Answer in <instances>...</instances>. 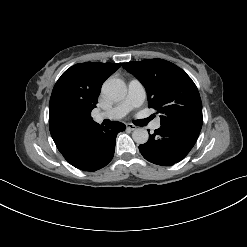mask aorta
Here are the masks:
<instances>
[{
	"mask_svg": "<svg viewBox=\"0 0 247 247\" xmlns=\"http://www.w3.org/2000/svg\"><path fill=\"white\" fill-rule=\"evenodd\" d=\"M102 94L109 101H121L127 94L126 84L121 79L109 78L102 86ZM132 138L137 144H144L148 141L149 134L146 129L137 128L133 131Z\"/></svg>",
	"mask_w": 247,
	"mask_h": 247,
	"instance_id": "aorta-1",
	"label": "aorta"
}]
</instances>
